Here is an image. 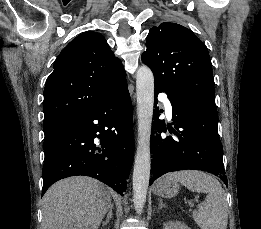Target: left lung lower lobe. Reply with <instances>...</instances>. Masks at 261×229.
<instances>
[{"mask_svg":"<svg viewBox=\"0 0 261 229\" xmlns=\"http://www.w3.org/2000/svg\"><path fill=\"white\" fill-rule=\"evenodd\" d=\"M160 92H165L170 99L172 124L177 131H170L173 136L158 134L165 133L167 128L165 121L158 119L156 109L151 141L153 175L149 185L165 173L187 169L207 171L228 185L215 103L195 95L169 93L155 85V96Z\"/></svg>","mask_w":261,"mask_h":229,"instance_id":"left-lung-lower-lobe-1","label":"left lung lower lobe"}]
</instances>
